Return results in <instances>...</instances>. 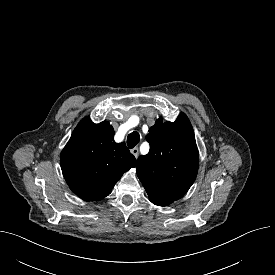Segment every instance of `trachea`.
Returning a JSON list of instances; mask_svg holds the SVG:
<instances>
[{
	"label": "trachea",
	"instance_id": "trachea-1",
	"mask_svg": "<svg viewBox=\"0 0 275 275\" xmlns=\"http://www.w3.org/2000/svg\"><path fill=\"white\" fill-rule=\"evenodd\" d=\"M139 141H140V135L138 132H132L127 137V145L130 149L134 148L139 143Z\"/></svg>",
	"mask_w": 275,
	"mask_h": 275
}]
</instances>
